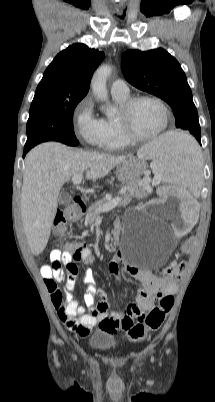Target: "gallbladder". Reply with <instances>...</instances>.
Returning <instances> with one entry per match:
<instances>
[{
	"label": "gallbladder",
	"mask_w": 215,
	"mask_h": 402,
	"mask_svg": "<svg viewBox=\"0 0 215 402\" xmlns=\"http://www.w3.org/2000/svg\"><path fill=\"white\" fill-rule=\"evenodd\" d=\"M71 202V196L68 193H61L58 198V203L62 205H67Z\"/></svg>",
	"instance_id": "gallbladder-1"
}]
</instances>
